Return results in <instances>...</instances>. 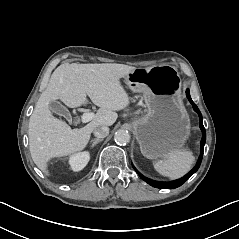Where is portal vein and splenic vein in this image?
<instances>
[{
	"label": "portal vein and splenic vein",
	"instance_id": "18ae733b",
	"mask_svg": "<svg viewBox=\"0 0 239 239\" xmlns=\"http://www.w3.org/2000/svg\"><path fill=\"white\" fill-rule=\"evenodd\" d=\"M93 118H94V113L92 112H86L81 117L83 123H87L91 121Z\"/></svg>",
	"mask_w": 239,
	"mask_h": 239
}]
</instances>
